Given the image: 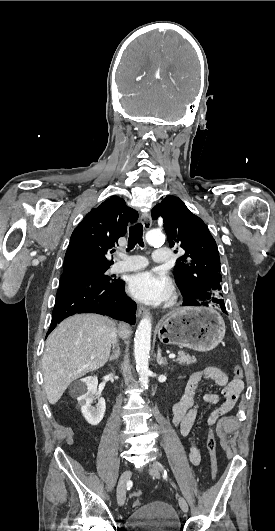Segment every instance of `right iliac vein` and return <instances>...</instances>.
Masks as SVG:
<instances>
[{"instance_id":"right-iliac-vein-1","label":"right iliac vein","mask_w":275,"mask_h":531,"mask_svg":"<svg viewBox=\"0 0 275 531\" xmlns=\"http://www.w3.org/2000/svg\"><path fill=\"white\" fill-rule=\"evenodd\" d=\"M131 470H125L119 481H118V485H117V502L120 506H123L125 504V500H126V486H127V483L129 482L130 478H131Z\"/></svg>"}]
</instances>
